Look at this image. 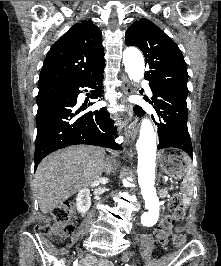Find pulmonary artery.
Here are the masks:
<instances>
[{
  "instance_id": "pulmonary-artery-1",
  "label": "pulmonary artery",
  "mask_w": 221,
  "mask_h": 266,
  "mask_svg": "<svg viewBox=\"0 0 221 266\" xmlns=\"http://www.w3.org/2000/svg\"><path fill=\"white\" fill-rule=\"evenodd\" d=\"M147 89H148V92L151 93L150 89L149 88H147Z\"/></svg>"
}]
</instances>
